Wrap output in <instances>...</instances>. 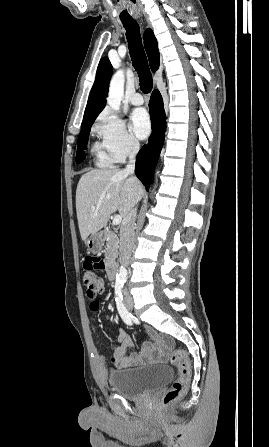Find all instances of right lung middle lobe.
<instances>
[{
  "mask_svg": "<svg viewBox=\"0 0 269 447\" xmlns=\"http://www.w3.org/2000/svg\"><path fill=\"white\" fill-rule=\"evenodd\" d=\"M93 123H90V124H86V125H83L82 127H81V132H80V134H79V137H78V144H77V148H78V150H77V152H76V162L77 163H80L81 161H83L84 159H85V152H84V148L86 147V145H87V142H88V138H89V132H90V128H91V125H92Z\"/></svg>",
  "mask_w": 269,
  "mask_h": 447,
  "instance_id": "1",
  "label": "right lung middle lobe"
}]
</instances>
